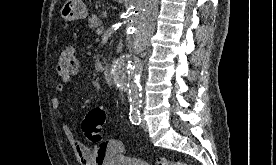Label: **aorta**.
Masks as SVG:
<instances>
[{
    "label": "aorta",
    "instance_id": "aorta-1",
    "mask_svg": "<svg viewBox=\"0 0 276 165\" xmlns=\"http://www.w3.org/2000/svg\"><path fill=\"white\" fill-rule=\"evenodd\" d=\"M130 43L135 53L143 51L154 33L159 0H131ZM142 70L140 60L135 55H126L113 62L111 77L117 87L128 91L134 103L141 99L139 76Z\"/></svg>",
    "mask_w": 276,
    "mask_h": 165
}]
</instances>
